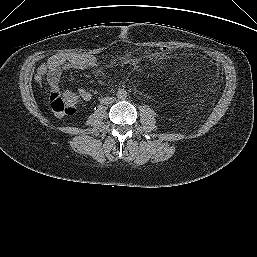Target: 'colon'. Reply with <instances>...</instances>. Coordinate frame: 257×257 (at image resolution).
I'll list each match as a JSON object with an SVG mask.
<instances>
[{"label": "colon", "mask_w": 257, "mask_h": 257, "mask_svg": "<svg viewBox=\"0 0 257 257\" xmlns=\"http://www.w3.org/2000/svg\"><path fill=\"white\" fill-rule=\"evenodd\" d=\"M162 55L172 53L171 46L165 45L160 47ZM81 102V96L73 92L54 91L49 96V105L52 111L57 115H72L76 112Z\"/></svg>", "instance_id": "1"}]
</instances>
